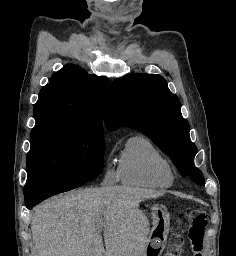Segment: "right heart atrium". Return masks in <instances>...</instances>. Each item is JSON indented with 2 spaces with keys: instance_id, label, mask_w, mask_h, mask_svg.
Returning <instances> with one entry per match:
<instances>
[{
  "instance_id": "1",
  "label": "right heart atrium",
  "mask_w": 236,
  "mask_h": 256,
  "mask_svg": "<svg viewBox=\"0 0 236 256\" xmlns=\"http://www.w3.org/2000/svg\"><path fill=\"white\" fill-rule=\"evenodd\" d=\"M119 181L118 168L112 159V154L108 153L105 159V170L102 183L104 185H113Z\"/></svg>"
}]
</instances>
